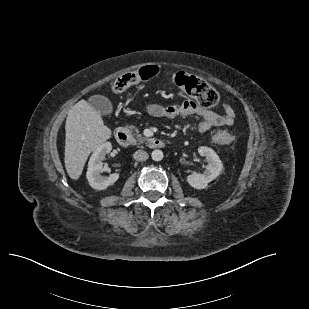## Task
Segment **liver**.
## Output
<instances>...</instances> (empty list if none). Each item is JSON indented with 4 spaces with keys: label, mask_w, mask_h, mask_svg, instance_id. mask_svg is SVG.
<instances>
[{
    "label": "liver",
    "mask_w": 309,
    "mask_h": 309,
    "mask_svg": "<svg viewBox=\"0 0 309 309\" xmlns=\"http://www.w3.org/2000/svg\"><path fill=\"white\" fill-rule=\"evenodd\" d=\"M65 130V167L70 178L77 180L89 154L112 133L101 115L85 100H80L68 111Z\"/></svg>",
    "instance_id": "1"
}]
</instances>
